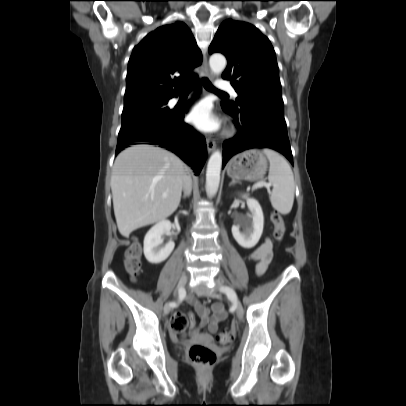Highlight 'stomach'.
<instances>
[{
  "instance_id": "stomach-1",
  "label": "stomach",
  "mask_w": 406,
  "mask_h": 406,
  "mask_svg": "<svg viewBox=\"0 0 406 406\" xmlns=\"http://www.w3.org/2000/svg\"><path fill=\"white\" fill-rule=\"evenodd\" d=\"M267 166L265 156L252 149L234 156L227 165V174L236 180L255 181L264 177Z\"/></svg>"
}]
</instances>
